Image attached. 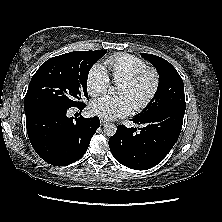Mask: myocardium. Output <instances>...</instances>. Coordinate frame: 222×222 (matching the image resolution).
<instances>
[{
    "label": "myocardium",
    "mask_w": 222,
    "mask_h": 222,
    "mask_svg": "<svg viewBox=\"0 0 222 222\" xmlns=\"http://www.w3.org/2000/svg\"><path fill=\"white\" fill-rule=\"evenodd\" d=\"M146 74H150L153 78L152 88L144 100L133 105V108L136 111H141V110L145 109L152 102L154 97L156 96L158 89H159V85H160V76H159L158 71L153 67L145 66L144 68L138 70L133 75L126 78L125 80H123L120 83V84H124L127 86H133Z\"/></svg>",
    "instance_id": "obj_1"
}]
</instances>
